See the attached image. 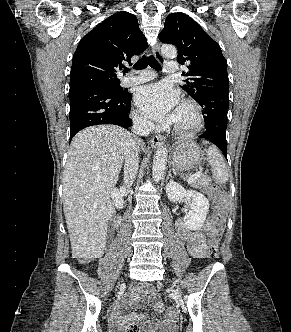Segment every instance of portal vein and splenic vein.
<instances>
[{
    "instance_id": "18ae733b",
    "label": "portal vein and splenic vein",
    "mask_w": 291,
    "mask_h": 332,
    "mask_svg": "<svg viewBox=\"0 0 291 332\" xmlns=\"http://www.w3.org/2000/svg\"><path fill=\"white\" fill-rule=\"evenodd\" d=\"M202 175V171L199 170L196 173H194L192 176H190L187 180L188 183H192L195 179H197L198 177H200Z\"/></svg>"
}]
</instances>
